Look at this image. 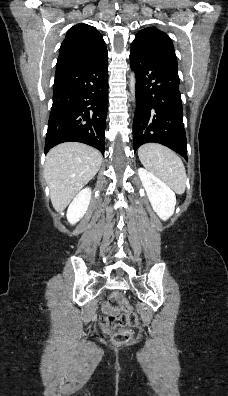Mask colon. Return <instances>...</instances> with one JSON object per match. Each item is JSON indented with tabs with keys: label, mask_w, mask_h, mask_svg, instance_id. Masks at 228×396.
Listing matches in <instances>:
<instances>
[{
	"label": "colon",
	"mask_w": 228,
	"mask_h": 396,
	"mask_svg": "<svg viewBox=\"0 0 228 396\" xmlns=\"http://www.w3.org/2000/svg\"><path fill=\"white\" fill-rule=\"evenodd\" d=\"M110 305L114 309H122V312L119 315H102L100 325L104 331L111 334L114 344L121 345L130 339L131 329L138 327L139 318L120 291L111 294Z\"/></svg>",
	"instance_id": "1"
}]
</instances>
